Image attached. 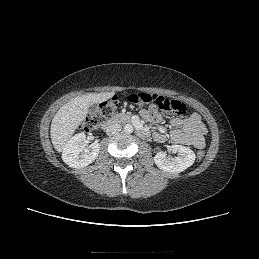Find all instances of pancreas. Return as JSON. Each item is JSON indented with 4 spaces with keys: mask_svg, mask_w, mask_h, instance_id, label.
I'll list each match as a JSON object with an SVG mask.
<instances>
[{
    "mask_svg": "<svg viewBox=\"0 0 259 259\" xmlns=\"http://www.w3.org/2000/svg\"><path fill=\"white\" fill-rule=\"evenodd\" d=\"M115 118L117 120H120L122 122H125V121H128L130 119V115L129 114H123V113H120V114H117L115 116Z\"/></svg>",
    "mask_w": 259,
    "mask_h": 259,
    "instance_id": "obj_1",
    "label": "pancreas"
}]
</instances>
